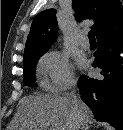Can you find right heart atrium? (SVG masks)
I'll return each mask as SVG.
<instances>
[{
  "label": "right heart atrium",
  "instance_id": "1",
  "mask_svg": "<svg viewBox=\"0 0 123 130\" xmlns=\"http://www.w3.org/2000/svg\"><path fill=\"white\" fill-rule=\"evenodd\" d=\"M39 71L46 87L52 92L64 91L75 83L73 67L62 52H47L39 62Z\"/></svg>",
  "mask_w": 123,
  "mask_h": 130
}]
</instances>
